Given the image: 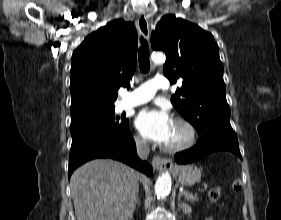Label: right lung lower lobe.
Returning a JSON list of instances; mask_svg holds the SVG:
<instances>
[{
	"mask_svg": "<svg viewBox=\"0 0 281 220\" xmlns=\"http://www.w3.org/2000/svg\"><path fill=\"white\" fill-rule=\"evenodd\" d=\"M96 158H112L124 162L148 176L153 175L152 167L139 159L136 144L128 129L110 133L94 131L72 137L68 176L83 163Z\"/></svg>",
	"mask_w": 281,
	"mask_h": 220,
	"instance_id": "1",
	"label": "right lung lower lobe"
}]
</instances>
